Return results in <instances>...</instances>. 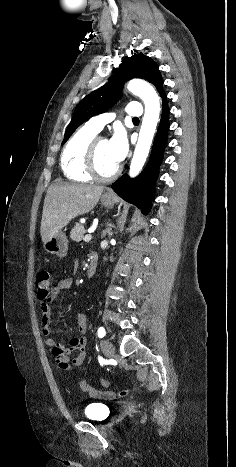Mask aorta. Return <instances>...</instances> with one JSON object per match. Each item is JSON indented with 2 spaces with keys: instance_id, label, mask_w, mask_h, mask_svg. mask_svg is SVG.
<instances>
[{
  "instance_id": "762f6f07",
  "label": "aorta",
  "mask_w": 236,
  "mask_h": 467,
  "mask_svg": "<svg viewBox=\"0 0 236 467\" xmlns=\"http://www.w3.org/2000/svg\"><path fill=\"white\" fill-rule=\"evenodd\" d=\"M127 89L140 97L145 105V113L139 132V138L130 164L129 175L136 177L142 170L148 157L156 127L159 121L160 101L155 89L146 81L133 79Z\"/></svg>"
}]
</instances>
